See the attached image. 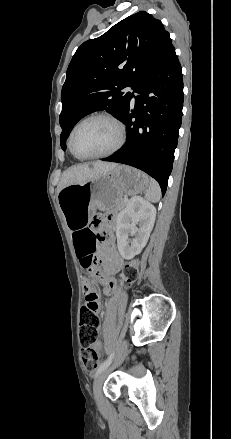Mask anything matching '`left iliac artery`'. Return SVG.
<instances>
[{"mask_svg": "<svg viewBox=\"0 0 231 439\" xmlns=\"http://www.w3.org/2000/svg\"><path fill=\"white\" fill-rule=\"evenodd\" d=\"M113 357H114V353H112V354L108 357V359L105 360V361H104V362L98 367V369H97L95 375L99 374L101 371H103L104 369H106V368L110 365V363L112 362Z\"/></svg>", "mask_w": 231, "mask_h": 439, "instance_id": "44dca946", "label": "left iliac artery"}]
</instances>
